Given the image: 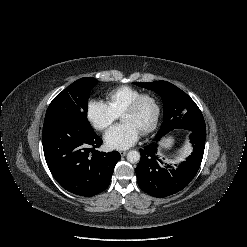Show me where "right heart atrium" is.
I'll use <instances>...</instances> for the list:
<instances>
[{
	"label": "right heart atrium",
	"instance_id": "right-heart-atrium-1",
	"mask_svg": "<svg viewBox=\"0 0 247 247\" xmlns=\"http://www.w3.org/2000/svg\"><path fill=\"white\" fill-rule=\"evenodd\" d=\"M86 116L92 126L100 131L107 129L118 118V115L99 99H90L86 105Z\"/></svg>",
	"mask_w": 247,
	"mask_h": 247
}]
</instances>
